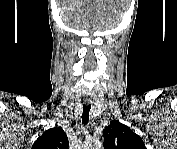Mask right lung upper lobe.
<instances>
[{
  "label": "right lung upper lobe",
  "mask_w": 177,
  "mask_h": 149,
  "mask_svg": "<svg viewBox=\"0 0 177 149\" xmlns=\"http://www.w3.org/2000/svg\"><path fill=\"white\" fill-rule=\"evenodd\" d=\"M68 138L61 127L45 131L33 144L32 149H68Z\"/></svg>",
  "instance_id": "right-lung-upper-lobe-1"
}]
</instances>
